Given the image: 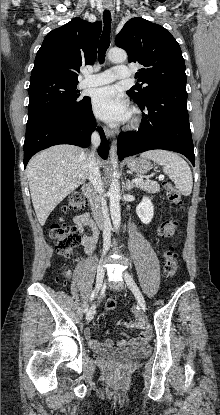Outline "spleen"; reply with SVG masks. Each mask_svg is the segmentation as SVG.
<instances>
[{
	"label": "spleen",
	"instance_id": "3e777b00",
	"mask_svg": "<svg viewBox=\"0 0 220 415\" xmlns=\"http://www.w3.org/2000/svg\"><path fill=\"white\" fill-rule=\"evenodd\" d=\"M163 167V172L175 183L180 193L189 196L192 192V173L187 162L175 153L166 150H152L141 154Z\"/></svg>",
	"mask_w": 220,
	"mask_h": 415
}]
</instances>
